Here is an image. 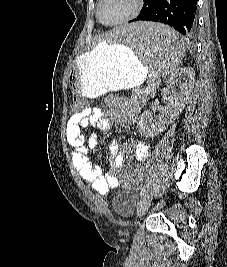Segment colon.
I'll return each instance as SVG.
<instances>
[{
    "label": "colon",
    "instance_id": "1",
    "mask_svg": "<svg viewBox=\"0 0 227 267\" xmlns=\"http://www.w3.org/2000/svg\"><path fill=\"white\" fill-rule=\"evenodd\" d=\"M83 101L80 98H75L70 105L69 115H80L83 109ZM127 192H134V187H127Z\"/></svg>",
    "mask_w": 227,
    "mask_h": 267
}]
</instances>
